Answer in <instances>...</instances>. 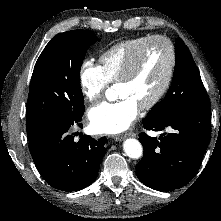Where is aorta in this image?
<instances>
[{
    "mask_svg": "<svg viewBox=\"0 0 221 221\" xmlns=\"http://www.w3.org/2000/svg\"><path fill=\"white\" fill-rule=\"evenodd\" d=\"M123 149L126 155L133 159L140 158L143 151L141 143L133 138H129L124 141Z\"/></svg>",
    "mask_w": 221,
    "mask_h": 221,
    "instance_id": "obj_1",
    "label": "aorta"
}]
</instances>
